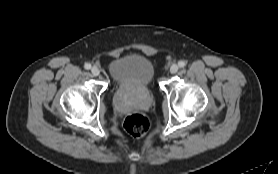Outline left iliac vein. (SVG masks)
<instances>
[{
  "instance_id": "left-iliac-vein-1",
  "label": "left iliac vein",
  "mask_w": 278,
  "mask_h": 174,
  "mask_svg": "<svg viewBox=\"0 0 278 174\" xmlns=\"http://www.w3.org/2000/svg\"><path fill=\"white\" fill-rule=\"evenodd\" d=\"M178 70H179V67H178L177 64H173V65L170 67V72H171L172 74L177 73Z\"/></svg>"
}]
</instances>
